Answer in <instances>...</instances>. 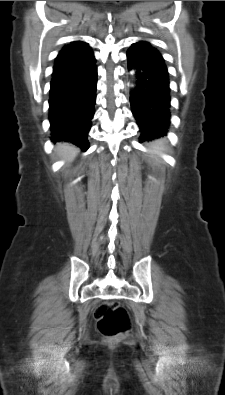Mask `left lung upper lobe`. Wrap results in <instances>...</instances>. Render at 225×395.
I'll return each mask as SVG.
<instances>
[{"instance_id": "1", "label": "left lung upper lobe", "mask_w": 225, "mask_h": 395, "mask_svg": "<svg viewBox=\"0 0 225 395\" xmlns=\"http://www.w3.org/2000/svg\"><path fill=\"white\" fill-rule=\"evenodd\" d=\"M129 51H131L139 59H158L164 60L161 53L147 41H139L134 43Z\"/></svg>"}]
</instances>
